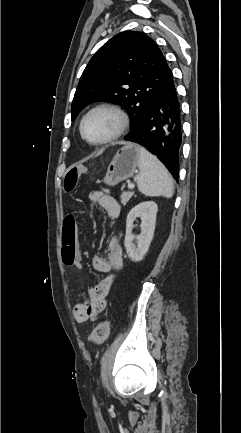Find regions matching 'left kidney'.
<instances>
[{"mask_svg": "<svg viewBox=\"0 0 241 433\" xmlns=\"http://www.w3.org/2000/svg\"><path fill=\"white\" fill-rule=\"evenodd\" d=\"M158 206L153 201L142 202L131 209L126 220V235L124 245L128 257L133 262H140L147 253L150 243L154 236L156 215ZM141 219V235L138 239L137 247L133 244L134 235L132 230L134 228V221L136 218Z\"/></svg>", "mask_w": 241, "mask_h": 433, "instance_id": "5707ae66", "label": "left kidney"}]
</instances>
